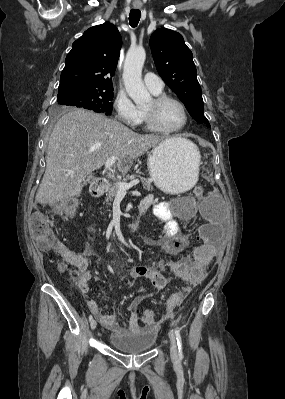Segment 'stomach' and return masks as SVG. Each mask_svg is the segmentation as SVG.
<instances>
[{
    "label": "stomach",
    "instance_id": "stomach-1",
    "mask_svg": "<svg viewBox=\"0 0 285 399\" xmlns=\"http://www.w3.org/2000/svg\"><path fill=\"white\" fill-rule=\"evenodd\" d=\"M200 159V152L193 142L184 138L166 140L149 153V174L163 192L180 194L197 182Z\"/></svg>",
    "mask_w": 285,
    "mask_h": 399
}]
</instances>
